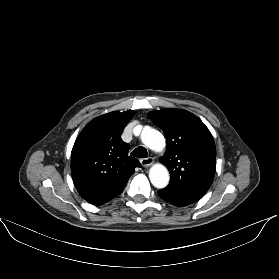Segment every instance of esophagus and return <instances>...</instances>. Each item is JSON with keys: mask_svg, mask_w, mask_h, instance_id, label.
Here are the masks:
<instances>
[{"mask_svg": "<svg viewBox=\"0 0 279 279\" xmlns=\"http://www.w3.org/2000/svg\"><path fill=\"white\" fill-rule=\"evenodd\" d=\"M143 167H149L154 163V159L152 157L143 158L140 160Z\"/></svg>", "mask_w": 279, "mask_h": 279, "instance_id": "obj_1", "label": "esophagus"}]
</instances>
